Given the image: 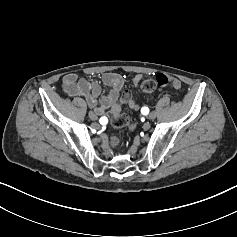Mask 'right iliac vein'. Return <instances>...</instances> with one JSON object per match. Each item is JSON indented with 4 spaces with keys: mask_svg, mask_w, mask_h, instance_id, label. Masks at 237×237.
<instances>
[{
    "mask_svg": "<svg viewBox=\"0 0 237 237\" xmlns=\"http://www.w3.org/2000/svg\"><path fill=\"white\" fill-rule=\"evenodd\" d=\"M89 118H90L91 120H96L98 117H97V114H96L95 112L90 111V112H89Z\"/></svg>",
    "mask_w": 237,
    "mask_h": 237,
    "instance_id": "1",
    "label": "right iliac vein"
}]
</instances>
